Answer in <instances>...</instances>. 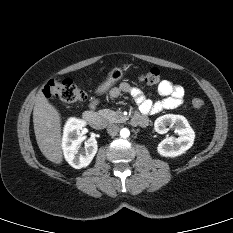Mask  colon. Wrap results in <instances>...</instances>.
<instances>
[{
	"label": "colon",
	"mask_w": 233,
	"mask_h": 233,
	"mask_svg": "<svg viewBox=\"0 0 233 233\" xmlns=\"http://www.w3.org/2000/svg\"><path fill=\"white\" fill-rule=\"evenodd\" d=\"M139 79L148 85H155L161 82V74L157 68H149L140 74ZM43 93L47 98L59 99L68 103L84 101L87 98L86 91L70 79L49 80L43 89ZM192 106L195 109H200L204 106V101L195 98L192 100Z\"/></svg>",
	"instance_id": "1"
}]
</instances>
